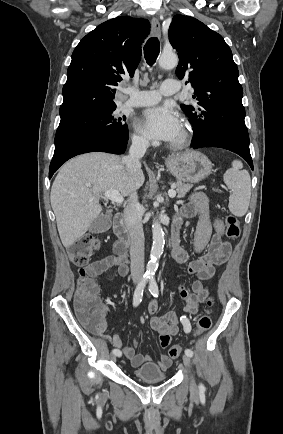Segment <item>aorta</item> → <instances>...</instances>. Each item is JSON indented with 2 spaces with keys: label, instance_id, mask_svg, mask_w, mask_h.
<instances>
[{
  "label": "aorta",
  "instance_id": "aorta-1",
  "mask_svg": "<svg viewBox=\"0 0 283 434\" xmlns=\"http://www.w3.org/2000/svg\"><path fill=\"white\" fill-rule=\"evenodd\" d=\"M178 64V57L176 54H162L159 59V66L163 69H172ZM153 244L150 253V261L147 264V274L154 275L158 268V260L160 259L165 239L162 226L158 220H154L152 224Z\"/></svg>",
  "mask_w": 283,
  "mask_h": 434
}]
</instances>
